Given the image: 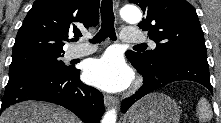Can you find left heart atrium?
<instances>
[{"instance_id": "39dd6f15", "label": "left heart atrium", "mask_w": 221, "mask_h": 123, "mask_svg": "<svg viewBox=\"0 0 221 123\" xmlns=\"http://www.w3.org/2000/svg\"><path fill=\"white\" fill-rule=\"evenodd\" d=\"M84 78L89 84L103 90L117 91L130 83L132 73L121 56L107 53L86 64Z\"/></svg>"}]
</instances>
